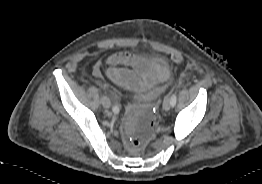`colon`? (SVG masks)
Instances as JSON below:
<instances>
[{"label": "colon", "mask_w": 262, "mask_h": 184, "mask_svg": "<svg viewBox=\"0 0 262 184\" xmlns=\"http://www.w3.org/2000/svg\"><path fill=\"white\" fill-rule=\"evenodd\" d=\"M154 114L151 109L129 107L125 121V141L133 149H141L148 141L153 128Z\"/></svg>", "instance_id": "obj_1"}]
</instances>
